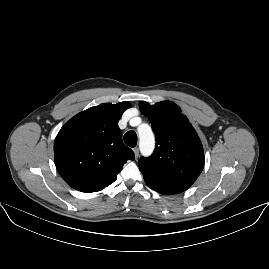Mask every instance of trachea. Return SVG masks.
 Here are the masks:
<instances>
[{
  "instance_id": "trachea-1",
  "label": "trachea",
  "mask_w": 269,
  "mask_h": 269,
  "mask_svg": "<svg viewBox=\"0 0 269 269\" xmlns=\"http://www.w3.org/2000/svg\"><path fill=\"white\" fill-rule=\"evenodd\" d=\"M124 142L129 146V147H135L137 145V135L134 131H128L124 135Z\"/></svg>"
}]
</instances>
